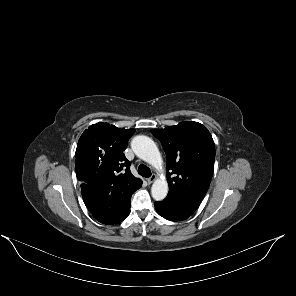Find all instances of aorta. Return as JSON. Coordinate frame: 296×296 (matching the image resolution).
Instances as JSON below:
<instances>
[{"label":"aorta","mask_w":296,"mask_h":296,"mask_svg":"<svg viewBox=\"0 0 296 296\" xmlns=\"http://www.w3.org/2000/svg\"><path fill=\"white\" fill-rule=\"evenodd\" d=\"M131 147L139 158L152 165L155 169L162 170L163 159L158 147L151 138L145 135H138L133 138ZM151 194L154 200H163L168 194L167 181L164 179L155 180L151 187Z\"/></svg>","instance_id":"1"}]
</instances>
